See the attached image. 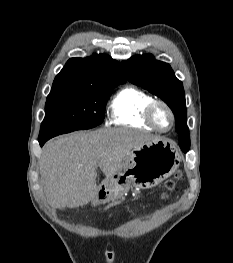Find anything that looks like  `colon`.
I'll list each match as a JSON object with an SVG mask.
<instances>
[{
  "mask_svg": "<svg viewBox=\"0 0 233 263\" xmlns=\"http://www.w3.org/2000/svg\"><path fill=\"white\" fill-rule=\"evenodd\" d=\"M177 178L180 177V173H177L176 175ZM175 187V181L173 179L167 180L165 183V189L166 191H171L173 190ZM166 195V193H164V196Z\"/></svg>",
  "mask_w": 233,
  "mask_h": 263,
  "instance_id": "colon-1",
  "label": "colon"
}]
</instances>
